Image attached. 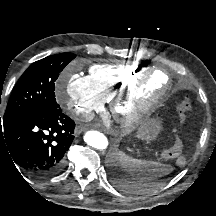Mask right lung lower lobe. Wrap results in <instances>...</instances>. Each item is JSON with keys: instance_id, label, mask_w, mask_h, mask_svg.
I'll return each mask as SVG.
<instances>
[{"instance_id": "98d812e1", "label": "right lung lower lobe", "mask_w": 216, "mask_h": 216, "mask_svg": "<svg viewBox=\"0 0 216 216\" xmlns=\"http://www.w3.org/2000/svg\"><path fill=\"white\" fill-rule=\"evenodd\" d=\"M75 123L61 109H45L0 123V152L39 178L59 173Z\"/></svg>"}]
</instances>
